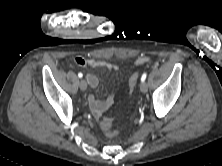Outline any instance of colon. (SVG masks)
Masks as SVG:
<instances>
[{"instance_id":"colon-1","label":"colon","mask_w":222,"mask_h":166,"mask_svg":"<svg viewBox=\"0 0 222 166\" xmlns=\"http://www.w3.org/2000/svg\"><path fill=\"white\" fill-rule=\"evenodd\" d=\"M138 77H139V75L137 72L133 73L130 76L129 81H128V86H129L130 92H132L135 89L137 82H138ZM100 126H101L102 130L104 131V133L108 137L112 138V137L116 136L117 131L113 126V118H110V117L103 118L100 122Z\"/></svg>"}]
</instances>
